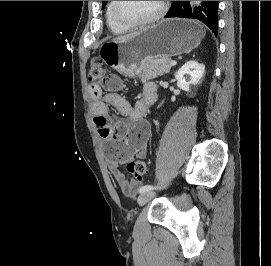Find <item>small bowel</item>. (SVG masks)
Masks as SVG:
<instances>
[{
	"instance_id": "c3829d8e",
	"label": "small bowel",
	"mask_w": 271,
	"mask_h": 266,
	"mask_svg": "<svg viewBox=\"0 0 271 266\" xmlns=\"http://www.w3.org/2000/svg\"><path fill=\"white\" fill-rule=\"evenodd\" d=\"M120 87V79L115 75L106 77L100 84H91V111L94 124L104 142L109 171L123 194L132 195L140 186V182L127 180L119 166L134 157H145L150 127L144 117L156 101L157 94L156 86L147 83L143 88L142 97L131 105L119 94ZM103 90L107 93L104 94ZM108 105L114 107L121 118L111 122Z\"/></svg>"
}]
</instances>
